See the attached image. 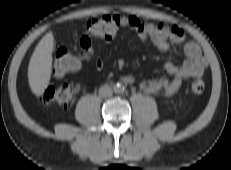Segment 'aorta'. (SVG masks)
Masks as SVG:
<instances>
[{"label":"aorta","instance_id":"aorta-1","mask_svg":"<svg viewBox=\"0 0 231 170\" xmlns=\"http://www.w3.org/2000/svg\"><path fill=\"white\" fill-rule=\"evenodd\" d=\"M115 93L121 94L124 92L125 88L122 84H116L113 88Z\"/></svg>","mask_w":231,"mask_h":170}]
</instances>
